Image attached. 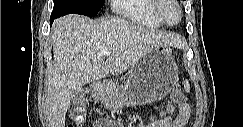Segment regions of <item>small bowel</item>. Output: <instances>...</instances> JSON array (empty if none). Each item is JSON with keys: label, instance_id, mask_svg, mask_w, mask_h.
Returning <instances> with one entry per match:
<instances>
[{"label": "small bowel", "instance_id": "1", "mask_svg": "<svg viewBox=\"0 0 243 127\" xmlns=\"http://www.w3.org/2000/svg\"><path fill=\"white\" fill-rule=\"evenodd\" d=\"M191 109L186 102L178 104V114L173 120L170 114L162 113L159 117H152L146 127H183L187 124ZM120 123L100 119L94 122L93 127H121Z\"/></svg>", "mask_w": 243, "mask_h": 127}]
</instances>
